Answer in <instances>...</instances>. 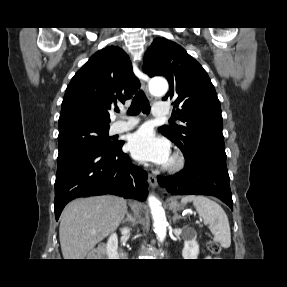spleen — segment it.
I'll return each mask as SVG.
<instances>
[{
  "label": "spleen",
  "instance_id": "1",
  "mask_svg": "<svg viewBox=\"0 0 287 287\" xmlns=\"http://www.w3.org/2000/svg\"><path fill=\"white\" fill-rule=\"evenodd\" d=\"M193 202L198 214L209 224L214 238L223 248L231 245V231L229 220L222 207L208 197L202 195H187L181 199V203Z\"/></svg>",
  "mask_w": 287,
  "mask_h": 287
}]
</instances>
